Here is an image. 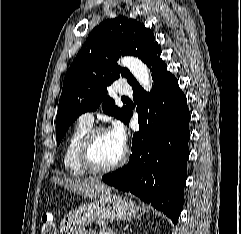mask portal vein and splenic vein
I'll use <instances>...</instances> for the list:
<instances>
[{
	"mask_svg": "<svg viewBox=\"0 0 241 234\" xmlns=\"http://www.w3.org/2000/svg\"><path fill=\"white\" fill-rule=\"evenodd\" d=\"M104 234H113V233H110V232H109V233H108V232H105Z\"/></svg>",
	"mask_w": 241,
	"mask_h": 234,
	"instance_id": "1",
	"label": "portal vein and splenic vein"
}]
</instances>
